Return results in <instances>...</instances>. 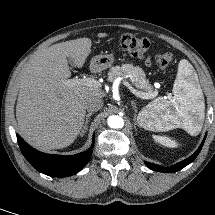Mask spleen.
Listing matches in <instances>:
<instances>
[{
    "instance_id": "spleen-1",
    "label": "spleen",
    "mask_w": 215,
    "mask_h": 215,
    "mask_svg": "<svg viewBox=\"0 0 215 215\" xmlns=\"http://www.w3.org/2000/svg\"><path fill=\"white\" fill-rule=\"evenodd\" d=\"M173 97H158L138 115L150 131L163 132L181 127L190 135L200 133L205 118L203 93L197 84V75L192 65L182 59L173 85Z\"/></svg>"
}]
</instances>
